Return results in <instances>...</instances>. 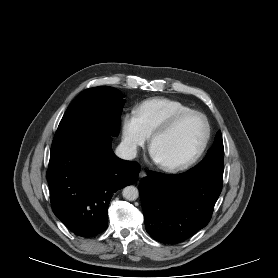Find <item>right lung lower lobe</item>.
Listing matches in <instances>:
<instances>
[{"mask_svg":"<svg viewBox=\"0 0 278 278\" xmlns=\"http://www.w3.org/2000/svg\"><path fill=\"white\" fill-rule=\"evenodd\" d=\"M111 140V135L87 136L50 151L46 178L52 210L82 237L106 230L112 195L138 178L139 164L116 157Z\"/></svg>","mask_w":278,"mask_h":278,"instance_id":"right-lung-lower-lobe-1","label":"right lung lower lobe"}]
</instances>
